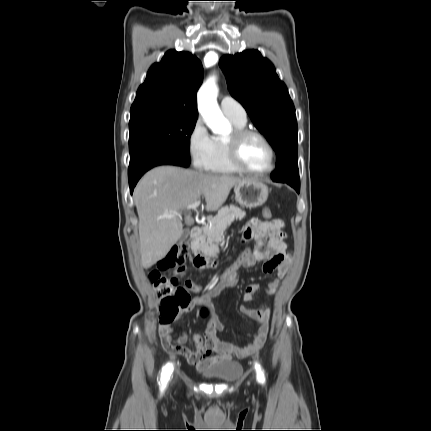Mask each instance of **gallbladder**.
Instances as JSON below:
<instances>
[{
  "instance_id": "1",
  "label": "gallbladder",
  "mask_w": 431,
  "mask_h": 431,
  "mask_svg": "<svg viewBox=\"0 0 431 431\" xmlns=\"http://www.w3.org/2000/svg\"><path fill=\"white\" fill-rule=\"evenodd\" d=\"M188 235H189V229L188 228L183 229L180 242H184L188 238Z\"/></svg>"
}]
</instances>
